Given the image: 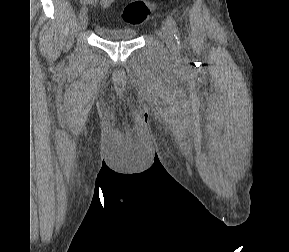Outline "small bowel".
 Wrapping results in <instances>:
<instances>
[{"instance_id": "small-bowel-1", "label": "small bowel", "mask_w": 289, "mask_h": 252, "mask_svg": "<svg viewBox=\"0 0 289 252\" xmlns=\"http://www.w3.org/2000/svg\"><path fill=\"white\" fill-rule=\"evenodd\" d=\"M82 5H99L102 8H108L115 0H79Z\"/></svg>"}]
</instances>
